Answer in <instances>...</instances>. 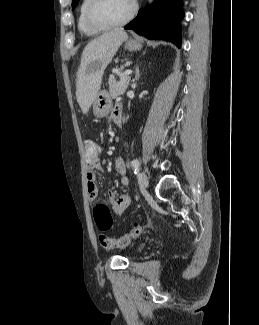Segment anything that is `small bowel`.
I'll return each instance as SVG.
<instances>
[{"mask_svg":"<svg viewBox=\"0 0 259 325\" xmlns=\"http://www.w3.org/2000/svg\"><path fill=\"white\" fill-rule=\"evenodd\" d=\"M122 117V105L121 104H115L111 114H110V120L114 123H116L117 118ZM100 153L101 150L98 147V155L95 159H87V167H88V173H87V190L88 195L91 200H95L98 197V188L96 184V176L98 173L102 171V165L100 162ZM115 169L116 172L120 175V184L123 187H126L129 185V179L126 176V165L124 160L119 157L115 161ZM107 199L110 203L113 205V210L116 215L121 214L125 209L128 208L130 205L131 199L128 195H118L113 191L108 192Z\"/></svg>","mask_w":259,"mask_h":325,"instance_id":"1","label":"small bowel"}]
</instances>
